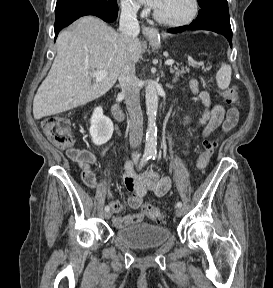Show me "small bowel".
Returning <instances> with one entry per match:
<instances>
[{
	"label": "small bowel",
	"instance_id": "small-bowel-1",
	"mask_svg": "<svg viewBox=\"0 0 273 288\" xmlns=\"http://www.w3.org/2000/svg\"><path fill=\"white\" fill-rule=\"evenodd\" d=\"M190 87L192 92L199 93V98L205 106L199 120V124L203 127V137H207L218 128L228 132L237 125L239 119L237 108L225 109L220 104H212L209 94L206 91H199L195 80L190 82ZM104 153L105 149L98 154L83 148H72L67 151L68 157L79 165L82 180L89 188L94 189L97 186L93 165L99 161ZM135 163V160H126L124 184L131 193L128 198L129 206L138 211L131 215L114 217L113 223L118 228L141 223L144 219V212L140 210L143 198L148 193H152L156 197H163L171 188V179L167 176L158 175L151 170L136 174L134 171ZM110 205L113 213H119L123 209V205L116 200H112Z\"/></svg>",
	"mask_w": 273,
	"mask_h": 288
}]
</instances>
